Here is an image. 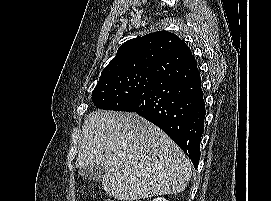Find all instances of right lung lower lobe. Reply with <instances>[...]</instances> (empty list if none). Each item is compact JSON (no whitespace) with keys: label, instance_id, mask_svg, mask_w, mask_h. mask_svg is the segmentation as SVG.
<instances>
[{"label":"right lung lower lobe","instance_id":"98d812e1","mask_svg":"<svg viewBox=\"0 0 271 201\" xmlns=\"http://www.w3.org/2000/svg\"><path fill=\"white\" fill-rule=\"evenodd\" d=\"M151 74L147 90L123 100L118 111L136 112L161 128L197 168L206 110L190 48L182 41L154 64Z\"/></svg>","mask_w":271,"mask_h":201}]
</instances>
